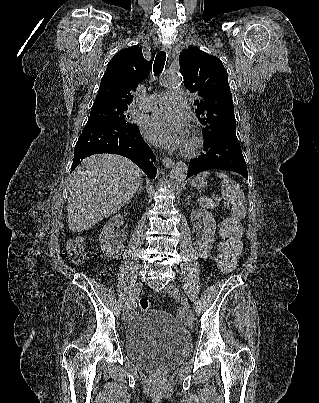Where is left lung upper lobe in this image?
Masks as SVG:
<instances>
[{
  "instance_id": "5c2ea615",
  "label": "left lung upper lobe",
  "mask_w": 319,
  "mask_h": 403,
  "mask_svg": "<svg viewBox=\"0 0 319 403\" xmlns=\"http://www.w3.org/2000/svg\"><path fill=\"white\" fill-rule=\"evenodd\" d=\"M179 63L184 86L200 97L194 104L198 120L204 125V138L236 128L232 94L221 60L199 48H188L181 52Z\"/></svg>"
}]
</instances>
